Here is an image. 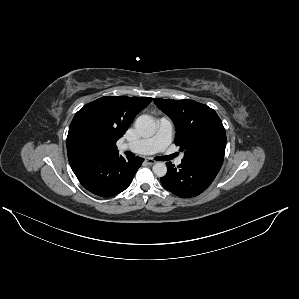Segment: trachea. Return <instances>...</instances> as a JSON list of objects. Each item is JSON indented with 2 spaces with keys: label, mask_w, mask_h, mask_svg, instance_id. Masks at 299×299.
<instances>
[{
  "label": "trachea",
  "mask_w": 299,
  "mask_h": 299,
  "mask_svg": "<svg viewBox=\"0 0 299 299\" xmlns=\"http://www.w3.org/2000/svg\"><path fill=\"white\" fill-rule=\"evenodd\" d=\"M125 154H126L127 156H129V157H134V154L131 153L130 151H126ZM174 157H175V154H173V155H169V156H161V157H157V158H155V160H158V161H168V160H170V159H172V158H174Z\"/></svg>",
  "instance_id": "obj_1"
}]
</instances>
